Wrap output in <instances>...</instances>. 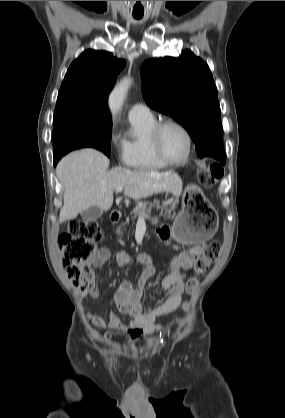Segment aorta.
<instances>
[{
  "label": "aorta",
  "instance_id": "aorta-1",
  "mask_svg": "<svg viewBox=\"0 0 285 418\" xmlns=\"http://www.w3.org/2000/svg\"><path fill=\"white\" fill-rule=\"evenodd\" d=\"M131 85L130 78L122 79L119 84L115 86L109 97V106L113 115L117 114L123 105L127 91Z\"/></svg>",
  "mask_w": 285,
  "mask_h": 418
}]
</instances>
